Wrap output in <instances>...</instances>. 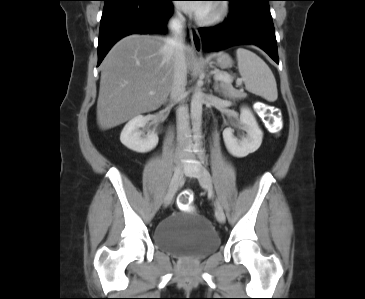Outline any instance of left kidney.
I'll return each instance as SVG.
<instances>
[{
	"mask_svg": "<svg viewBox=\"0 0 365 299\" xmlns=\"http://www.w3.org/2000/svg\"><path fill=\"white\" fill-rule=\"evenodd\" d=\"M240 122L247 132L241 139L233 135V129L226 128L223 131V139L228 151L235 157H246L255 152L261 146L263 132L249 108L242 107L240 110Z\"/></svg>",
	"mask_w": 365,
	"mask_h": 299,
	"instance_id": "left-kidney-1",
	"label": "left kidney"
}]
</instances>
